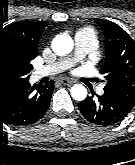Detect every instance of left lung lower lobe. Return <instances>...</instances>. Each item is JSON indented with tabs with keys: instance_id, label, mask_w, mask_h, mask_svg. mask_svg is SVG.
Returning <instances> with one entry per match:
<instances>
[{
	"instance_id": "left-lung-lower-lobe-1",
	"label": "left lung lower lobe",
	"mask_w": 135,
	"mask_h": 165,
	"mask_svg": "<svg viewBox=\"0 0 135 165\" xmlns=\"http://www.w3.org/2000/svg\"><path fill=\"white\" fill-rule=\"evenodd\" d=\"M86 98L79 104V109L83 116L90 122L96 124H113L124 119L133 107L123 102L116 95L104 92L97 98Z\"/></svg>"
}]
</instances>
